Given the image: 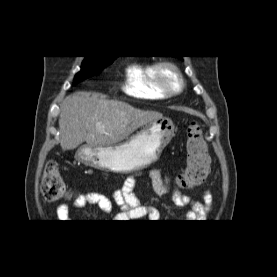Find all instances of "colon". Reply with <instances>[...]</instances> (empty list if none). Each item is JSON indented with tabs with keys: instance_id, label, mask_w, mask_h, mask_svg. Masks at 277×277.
Wrapping results in <instances>:
<instances>
[{
	"instance_id": "5ec220e1",
	"label": "colon",
	"mask_w": 277,
	"mask_h": 277,
	"mask_svg": "<svg viewBox=\"0 0 277 277\" xmlns=\"http://www.w3.org/2000/svg\"><path fill=\"white\" fill-rule=\"evenodd\" d=\"M186 167L179 177L181 185L194 187L202 184L209 174V156L201 126L192 122L187 128ZM40 190L46 201H59L70 196L58 164L49 161L43 171Z\"/></svg>"
}]
</instances>
